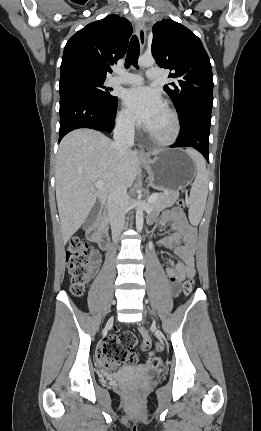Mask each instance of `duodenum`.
<instances>
[{
    "mask_svg": "<svg viewBox=\"0 0 261 431\" xmlns=\"http://www.w3.org/2000/svg\"><path fill=\"white\" fill-rule=\"evenodd\" d=\"M105 220L106 211L101 209L94 227V231L91 234V238L95 240L101 249L106 250L109 247L110 240L107 232L105 231Z\"/></svg>",
    "mask_w": 261,
    "mask_h": 431,
    "instance_id": "obj_1",
    "label": "duodenum"
}]
</instances>
